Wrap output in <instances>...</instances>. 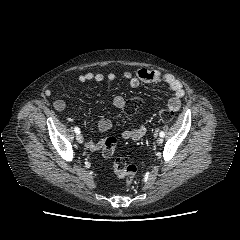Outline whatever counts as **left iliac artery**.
<instances>
[{
	"label": "left iliac artery",
	"mask_w": 240,
	"mask_h": 240,
	"mask_svg": "<svg viewBox=\"0 0 240 240\" xmlns=\"http://www.w3.org/2000/svg\"><path fill=\"white\" fill-rule=\"evenodd\" d=\"M159 135H160V137H164V136H165V133H164L163 131H161V132L159 133Z\"/></svg>",
	"instance_id": "1"
}]
</instances>
